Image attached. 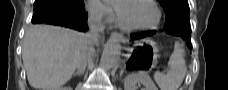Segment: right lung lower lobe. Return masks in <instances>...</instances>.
<instances>
[{"label":"right lung lower lobe","mask_w":228,"mask_h":90,"mask_svg":"<svg viewBox=\"0 0 228 90\" xmlns=\"http://www.w3.org/2000/svg\"><path fill=\"white\" fill-rule=\"evenodd\" d=\"M86 16L83 0H36L32 23L65 26L85 32L88 30Z\"/></svg>","instance_id":"right-lung-lower-lobe-1"}]
</instances>
